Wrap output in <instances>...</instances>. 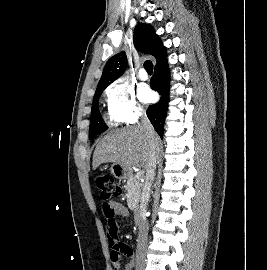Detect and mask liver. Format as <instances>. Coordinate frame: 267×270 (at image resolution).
I'll return each mask as SVG.
<instances>
[{
	"label": "liver",
	"instance_id": "1",
	"mask_svg": "<svg viewBox=\"0 0 267 270\" xmlns=\"http://www.w3.org/2000/svg\"><path fill=\"white\" fill-rule=\"evenodd\" d=\"M160 148V138L155 137ZM151 157L149 138L140 126H129L114 130L97 144L93 155V169L103 163H118L132 169L140 164L147 169Z\"/></svg>",
	"mask_w": 267,
	"mask_h": 270
}]
</instances>
